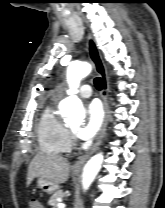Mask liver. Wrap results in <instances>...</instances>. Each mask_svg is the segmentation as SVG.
<instances>
[{"instance_id":"6515ba94","label":"liver","mask_w":165,"mask_h":208,"mask_svg":"<svg viewBox=\"0 0 165 208\" xmlns=\"http://www.w3.org/2000/svg\"><path fill=\"white\" fill-rule=\"evenodd\" d=\"M69 171L70 164L64 157L39 153L29 165L27 185H30L35 177H41L59 185L68 180Z\"/></svg>"}]
</instances>
